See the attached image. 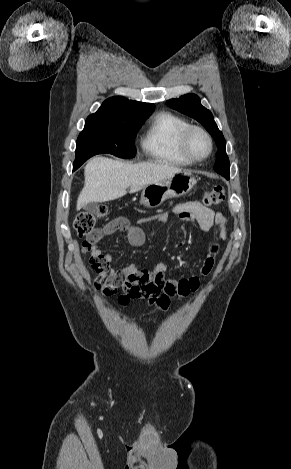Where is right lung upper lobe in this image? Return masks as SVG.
Segmentation results:
<instances>
[{
    "label": "right lung upper lobe",
    "instance_id": "right-lung-upper-lobe-1",
    "mask_svg": "<svg viewBox=\"0 0 291 469\" xmlns=\"http://www.w3.org/2000/svg\"><path fill=\"white\" fill-rule=\"evenodd\" d=\"M154 107V104L114 96L105 100L98 111L91 114L89 118H106L113 120L147 118Z\"/></svg>",
    "mask_w": 291,
    "mask_h": 469
}]
</instances>
